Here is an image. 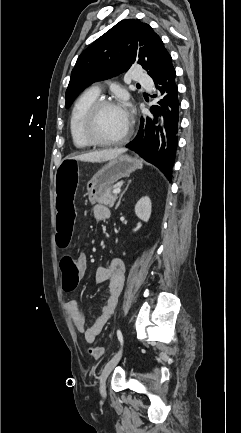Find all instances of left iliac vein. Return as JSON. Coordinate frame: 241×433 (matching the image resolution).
<instances>
[{"label":"left iliac vein","instance_id":"left-iliac-vein-1","mask_svg":"<svg viewBox=\"0 0 241 433\" xmlns=\"http://www.w3.org/2000/svg\"><path fill=\"white\" fill-rule=\"evenodd\" d=\"M123 351H120L117 355H115L104 367L101 377H100V393L104 397L106 394V379L111 373V371L115 368L122 357Z\"/></svg>","mask_w":241,"mask_h":433}]
</instances>
